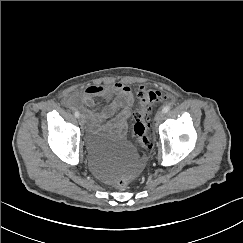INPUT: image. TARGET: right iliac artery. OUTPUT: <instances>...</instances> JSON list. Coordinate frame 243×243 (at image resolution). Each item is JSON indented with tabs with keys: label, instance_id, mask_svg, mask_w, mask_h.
Wrapping results in <instances>:
<instances>
[{
	"label": "right iliac artery",
	"instance_id": "right-iliac-artery-1",
	"mask_svg": "<svg viewBox=\"0 0 243 243\" xmlns=\"http://www.w3.org/2000/svg\"><path fill=\"white\" fill-rule=\"evenodd\" d=\"M74 115H75L76 118H79L80 113L78 111H75Z\"/></svg>",
	"mask_w": 243,
	"mask_h": 243
}]
</instances>
